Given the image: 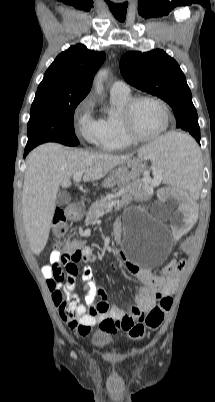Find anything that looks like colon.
Instances as JSON below:
<instances>
[{"label":"colon","mask_w":215,"mask_h":402,"mask_svg":"<svg viewBox=\"0 0 215 402\" xmlns=\"http://www.w3.org/2000/svg\"><path fill=\"white\" fill-rule=\"evenodd\" d=\"M54 224V233L56 236H62L66 232V219L63 212L60 209H57L54 213L53 217ZM197 238L195 236H189L188 239H183L178 248L180 254H187L188 251L192 248V243H195ZM80 242H83V237L71 238L70 241H63V255L67 257H71V259L65 260L60 259L51 262L53 269L56 271H71L75 270L76 262L81 258V251L79 250L81 247ZM72 250H78L73 254ZM73 254V255H72ZM184 267V262L179 261L174 264L169 265L166 268V273L168 274H177ZM47 285L52 292V296L54 302L57 305H61L62 303V295L58 290L55 282L53 280H47ZM172 306V298L171 297H163L158 306L152 308L149 313L137 324H134L129 330V335L133 339H140L144 336L146 330H154L157 329L163 322L166 312Z\"/></svg>","instance_id":"colon-1"}]
</instances>
